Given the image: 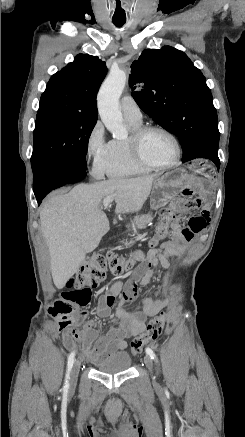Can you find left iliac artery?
Wrapping results in <instances>:
<instances>
[{"label": "left iliac artery", "instance_id": "44dca946", "mask_svg": "<svg viewBox=\"0 0 245 437\" xmlns=\"http://www.w3.org/2000/svg\"><path fill=\"white\" fill-rule=\"evenodd\" d=\"M146 353L147 355H149L151 357V359L156 360V354L154 353V351L150 348H146Z\"/></svg>", "mask_w": 245, "mask_h": 437}]
</instances>
